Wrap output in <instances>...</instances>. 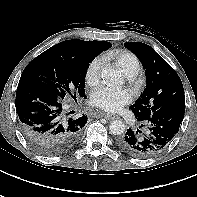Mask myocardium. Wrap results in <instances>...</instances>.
Segmentation results:
<instances>
[{"mask_svg": "<svg viewBox=\"0 0 197 197\" xmlns=\"http://www.w3.org/2000/svg\"><path fill=\"white\" fill-rule=\"evenodd\" d=\"M129 80H130V82L132 83V85H133L135 88L138 87V80H137L136 76H131Z\"/></svg>", "mask_w": 197, "mask_h": 197, "instance_id": "f54148a6", "label": "myocardium"}]
</instances>
